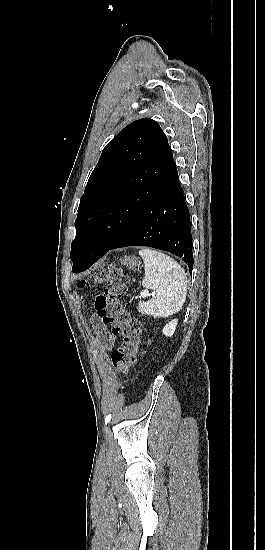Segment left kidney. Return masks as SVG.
<instances>
[{"label":"left kidney","mask_w":265,"mask_h":550,"mask_svg":"<svg viewBox=\"0 0 265 550\" xmlns=\"http://www.w3.org/2000/svg\"><path fill=\"white\" fill-rule=\"evenodd\" d=\"M177 322H178V320L174 319V320L170 321L168 324H166L164 326L163 330H162L163 334L167 337H171L175 332Z\"/></svg>","instance_id":"obj_1"}]
</instances>
